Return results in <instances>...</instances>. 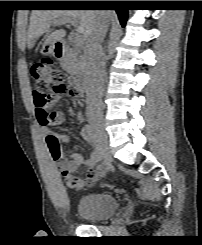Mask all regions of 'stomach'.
<instances>
[{"label": "stomach", "instance_id": "stomach-1", "mask_svg": "<svg viewBox=\"0 0 202 245\" xmlns=\"http://www.w3.org/2000/svg\"><path fill=\"white\" fill-rule=\"evenodd\" d=\"M55 43L44 44L40 50V53L44 56H54Z\"/></svg>", "mask_w": 202, "mask_h": 245}]
</instances>
